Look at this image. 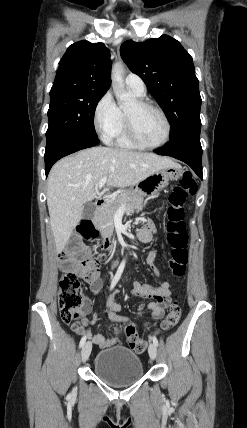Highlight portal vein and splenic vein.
<instances>
[{
	"instance_id": "18ae733b",
	"label": "portal vein and splenic vein",
	"mask_w": 247,
	"mask_h": 428,
	"mask_svg": "<svg viewBox=\"0 0 247 428\" xmlns=\"http://www.w3.org/2000/svg\"><path fill=\"white\" fill-rule=\"evenodd\" d=\"M107 176H105V177H103L100 181H99V183H98V188L99 189H101L104 185H105V183L107 182Z\"/></svg>"
}]
</instances>
